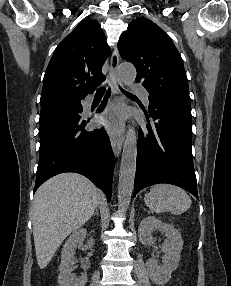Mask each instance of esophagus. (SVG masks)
Segmentation results:
<instances>
[{
	"instance_id": "esophagus-1",
	"label": "esophagus",
	"mask_w": 231,
	"mask_h": 286,
	"mask_svg": "<svg viewBox=\"0 0 231 286\" xmlns=\"http://www.w3.org/2000/svg\"><path fill=\"white\" fill-rule=\"evenodd\" d=\"M118 65H119V53L117 48H115L111 56L110 66H111L112 87L114 93L117 95L120 94L119 85L121 84L118 75ZM122 143L123 139L120 136L119 137L113 136L111 138V146L116 157H118L121 153Z\"/></svg>"
}]
</instances>
